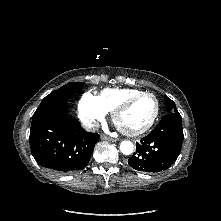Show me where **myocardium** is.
<instances>
[{
	"label": "myocardium",
	"mask_w": 221,
	"mask_h": 221,
	"mask_svg": "<svg viewBox=\"0 0 221 221\" xmlns=\"http://www.w3.org/2000/svg\"><path fill=\"white\" fill-rule=\"evenodd\" d=\"M144 96H151L155 99V102H156V107H155V112H154V115L153 117L151 118V120L145 125L143 126L142 128L138 129V130H133V131H130V130H126L124 128H122L119 123H118V118L120 116V114L122 112H124L130 105H132L136 100H138L139 98L141 97H144ZM159 114H160V101L158 99V97L154 94V93H151V92H141V93H138V94H135L127 99H125L124 101H122L113 111H112V115H111V118H112V121L113 123L115 124V126L125 135L127 136H131V137H135V136H139V135H142L144 133H146L147 131H149L153 126L154 124L156 123L158 117H159Z\"/></svg>",
	"instance_id": "1"
}]
</instances>
